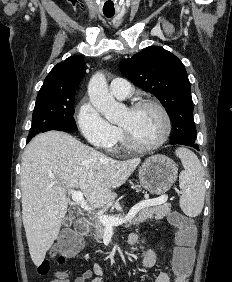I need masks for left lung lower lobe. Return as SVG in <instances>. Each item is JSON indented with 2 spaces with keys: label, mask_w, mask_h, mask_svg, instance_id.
Returning a JSON list of instances; mask_svg holds the SVG:
<instances>
[{
  "label": "left lung lower lobe",
  "mask_w": 232,
  "mask_h": 282,
  "mask_svg": "<svg viewBox=\"0 0 232 282\" xmlns=\"http://www.w3.org/2000/svg\"><path fill=\"white\" fill-rule=\"evenodd\" d=\"M170 144H181V145H186V146H190L193 147L197 150H199V146L198 144L194 143V142H182L180 139H178L175 135L172 134L171 137V141Z\"/></svg>",
  "instance_id": "obj_1"
}]
</instances>
